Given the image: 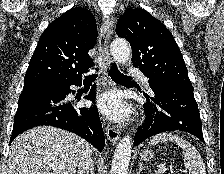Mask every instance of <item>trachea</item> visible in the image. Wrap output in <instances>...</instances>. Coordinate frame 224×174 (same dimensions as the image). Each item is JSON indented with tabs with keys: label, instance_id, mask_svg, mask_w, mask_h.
<instances>
[{
	"label": "trachea",
	"instance_id": "3493384b",
	"mask_svg": "<svg viewBox=\"0 0 224 174\" xmlns=\"http://www.w3.org/2000/svg\"><path fill=\"white\" fill-rule=\"evenodd\" d=\"M108 74L111 76V78L114 81H130V80H132L131 77L122 74L118 70V68L115 64H112L111 68L108 70ZM96 77H97L96 73L95 74H90V75L85 77V80H94V79H96Z\"/></svg>",
	"mask_w": 224,
	"mask_h": 174
}]
</instances>
